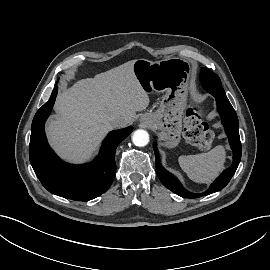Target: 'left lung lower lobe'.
<instances>
[{
	"mask_svg": "<svg viewBox=\"0 0 270 270\" xmlns=\"http://www.w3.org/2000/svg\"><path fill=\"white\" fill-rule=\"evenodd\" d=\"M216 103L218 112L221 115L222 123L225 126L226 134L229 138V143L231 149L233 150V164L213 182L208 190L200 194H194L185 190L179 181L168 171H166L159 159L158 151L156 145H153V149L156 157V172L160 181L164 186L170 189L172 192L178 194L184 198H198L201 196H206L211 193L217 192L223 189L230 181L234 175L241 159V142L239 136V122L235 110L233 109L231 103L227 99H221L216 97Z\"/></svg>",
	"mask_w": 270,
	"mask_h": 270,
	"instance_id": "0a47b994",
	"label": "left lung lower lobe"
}]
</instances>
